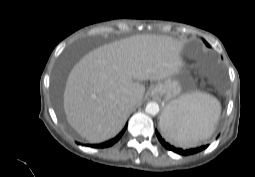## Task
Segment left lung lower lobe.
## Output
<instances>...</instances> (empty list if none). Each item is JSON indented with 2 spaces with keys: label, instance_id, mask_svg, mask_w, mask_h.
I'll return each mask as SVG.
<instances>
[{
  "label": "left lung lower lobe",
  "instance_id": "obj_1",
  "mask_svg": "<svg viewBox=\"0 0 255 177\" xmlns=\"http://www.w3.org/2000/svg\"><path fill=\"white\" fill-rule=\"evenodd\" d=\"M156 135L158 137V140L161 142V144L170 151H173L177 154L183 155V156H187V155H192L198 152H201L202 150L206 149L208 147V145H204L201 147H197V148H191V149H182V148H178L176 146H173L171 144H169L167 141H165L161 135L158 133V131L156 130Z\"/></svg>",
  "mask_w": 255,
  "mask_h": 177
}]
</instances>
